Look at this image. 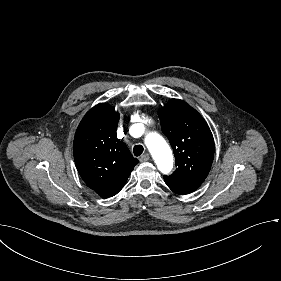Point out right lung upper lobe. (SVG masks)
I'll list each match as a JSON object with an SVG mask.
<instances>
[{
    "label": "right lung upper lobe",
    "mask_w": 281,
    "mask_h": 281,
    "mask_svg": "<svg viewBox=\"0 0 281 281\" xmlns=\"http://www.w3.org/2000/svg\"><path fill=\"white\" fill-rule=\"evenodd\" d=\"M119 114L102 103L93 107L77 128L73 150L84 182L101 197L117 194L138 160L117 139Z\"/></svg>",
    "instance_id": "right-lung-upper-lobe-1"
}]
</instances>
